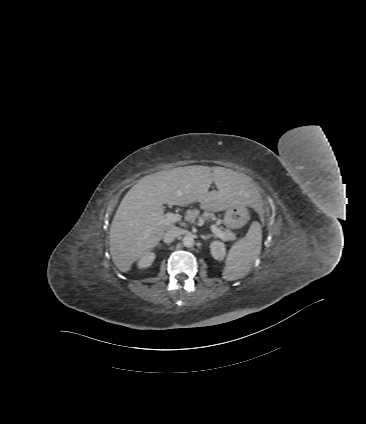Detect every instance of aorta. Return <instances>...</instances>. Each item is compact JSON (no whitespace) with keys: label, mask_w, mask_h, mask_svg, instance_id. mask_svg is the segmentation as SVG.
Masks as SVG:
<instances>
[{"label":"aorta","mask_w":366,"mask_h":424,"mask_svg":"<svg viewBox=\"0 0 366 424\" xmlns=\"http://www.w3.org/2000/svg\"><path fill=\"white\" fill-rule=\"evenodd\" d=\"M182 242L185 247L190 248V247H193L194 245V238L191 234H188L184 236Z\"/></svg>","instance_id":"aorta-1"}]
</instances>
